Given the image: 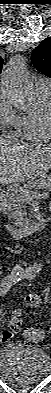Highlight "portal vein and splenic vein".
<instances>
[{"label": "portal vein and splenic vein", "mask_w": 51, "mask_h": 393, "mask_svg": "<svg viewBox=\"0 0 51 393\" xmlns=\"http://www.w3.org/2000/svg\"><path fill=\"white\" fill-rule=\"evenodd\" d=\"M23 192L25 193L26 198L29 199V200H33L34 198H38V197L41 196L40 193H36V192L32 193V194H30L28 192H25V191H23Z\"/></svg>", "instance_id": "1"}]
</instances>
